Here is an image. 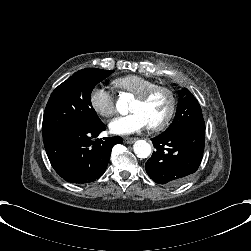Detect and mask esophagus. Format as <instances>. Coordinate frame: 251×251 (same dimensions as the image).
I'll list each match as a JSON object with an SVG mask.
<instances>
[{"instance_id":"1","label":"esophagus","mask_w":251,"mask_h":251,"mask_svg":"<svg viewBox=\"0 0 251 251\" xmlns=\"http://www.w3.org/2000/svg\"><path fill=\"white\" fill-rule=\"evenodd\" d=\"M124 143L126 144H130V143H133L134 141H136V138L134 137H124Z\"/></svg>"}]
</instances>
